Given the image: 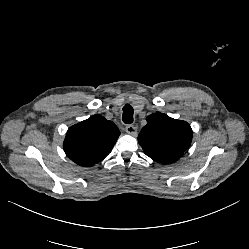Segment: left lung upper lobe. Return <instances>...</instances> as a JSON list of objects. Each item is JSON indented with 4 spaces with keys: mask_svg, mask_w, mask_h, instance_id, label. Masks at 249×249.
<instances>
[{
    "mask_svg": "<svg viewBox=\"0 0 249 249\" xmlns=\"http://www.w3.org/2000/svg\"><path fill=\"white\" fill-rule=\"evenodd\" d=\"M146 120V126L138 135L144 153L162 164L177 161L190 146V125L160 112L149 115Z\"/></svg>",
    "mask_w": 249,
    "mask_h": 249,
    "instance_id": "1",
    "label": "left lung upper lobe"
}]
</instances>
